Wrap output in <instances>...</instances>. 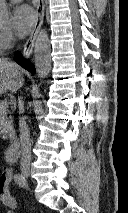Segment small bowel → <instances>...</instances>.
Instances as JSON below:
<instances>
[{
  "label": "small bowel",
  "mask_w": 128,
  "mask_h": 213,
  "mask_svg": "<svg viewBox=\"0 0 128 213\" xmlns=\"http://www.w3.org/2000/svg\"><path fill=\"white\" fill-rule=\"evenodd\" d=\"M13 180V169L5 167L0 174V200L7 208L6 213H15L17 201L12 196L9 185Z\"/></svg>",
  "instance_id": "obj_1"
}]
</instances>
